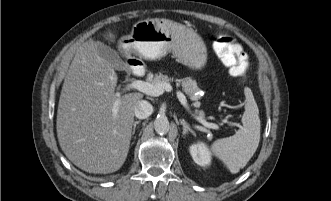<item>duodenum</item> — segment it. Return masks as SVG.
I'll return each instance as SVG.
<instances>
[{
	"mask_svg": "<svg viewBox=\"0 0 331 201\" xmlns=\"http://www.w3.org/2000/svg\"><path fill=\"white\" fill-rule=\"evenodd\" d=\"M131 65L132 73L136 76H143L145 73V67L142 61L137 58H133L129 60Z\"/></svg>",
	"mask_w": 331,
	"mask_h": 201,
	"instance_id": "410a0bca",
	"label": "duodenum"
}]
</instances>
